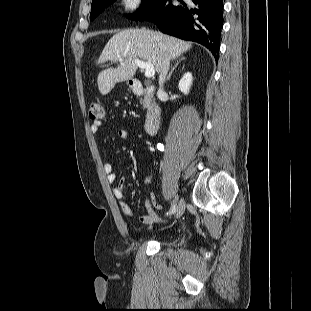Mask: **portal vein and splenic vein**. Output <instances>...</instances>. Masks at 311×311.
I'll return each mask as SVG.
<instances>
[{"mask_svg":"<svg viewBox=\"0 0 311 311\" xmlns=\"http://www.w3.org/2000/svg\"><path fill=\"white\" fill-rule=\"evenodd\" d=\"M119 61H122L121 57H119ZM134 62L138 67L145 70V77L151 78L155 75V68L151 63L144 62L140 59H135Z\"/></svg>","mask_w":311,"mask_h":311,"instance_id":"obj_1","label":"portal vein and splenic vein"}]
</instances>
